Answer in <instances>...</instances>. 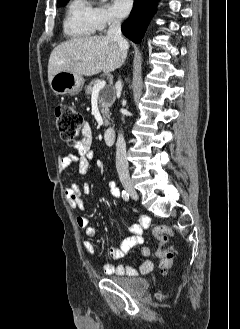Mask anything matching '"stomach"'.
Masks as SVG:
<instances>
[{
  "instance_id": "1",
  "label": "stomach",
  "mask_w": 240,
  "mask_h": 329,
  "mask_svg": "<svg viewBox=\"0 0 240 329\" xmlns=\"http://www.w3.org/2000/svg\"><path fill=\"white\" fill-rule=\"evenodd\" d=\"M50 88L56 95H77L84 84V79L81 75L67 71L56 73L49 82Z\"/></svg>"
}]
</instances>
